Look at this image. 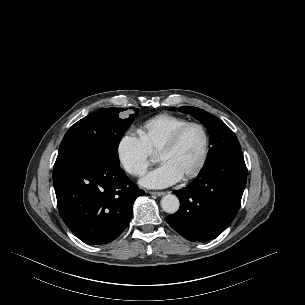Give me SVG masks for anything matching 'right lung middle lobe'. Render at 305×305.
Wrapping results in <instances>:
<instances>
[{
  "mask_svg": "<svg viewBox=\"0 0 305 305\" xmlns=\"http://www.w3.org/2000/svg\"><path fill=\"white\" fill-rule=\"evenodd\" d=\"M124 108L98 110L76 122L66 132L56 162L78 157H94L110 165L119 166L118 145L132 124L135 114L121 119ZM138 112V109H134Z\"/></svg>",
  "mask_w": 305,
  "mask_h": 305,
  "instance_id": "dd1d6c3e",
  "label": "right lung middle lobe"
}]
</instances>
